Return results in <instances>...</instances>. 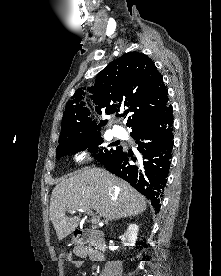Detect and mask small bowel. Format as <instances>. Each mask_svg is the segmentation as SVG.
Returning <instances> with one entry per match:
<instances>
[{"instance_id": "1", "label": "small bowel", "mask_w": 221, "mask_h": 276, "mask_svg": "<svg viewBox=\"0 0 221 276\" xmlns=\"http://www.w3.org/2000/svg\"><path fill=\"white\" fill-rule=\"evenodd\" d=\"M74 254L78 258H89L92 261H101L103 259L102 254L96 252L93 248L90 247H76L74 249ZM81 260L73 261L75 267H80Z\"/></svg>"}]
</instances>
